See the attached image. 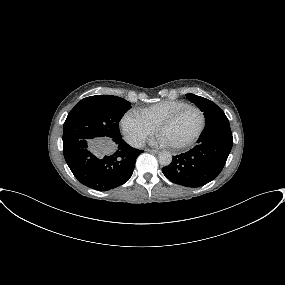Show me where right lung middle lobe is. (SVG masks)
<instances>
[{"label":"right lung middle lobe","mask_w":285,"mask_h":285,"mask_svg":"<svg viewBox=\"0 0 285 285\" xmlns=\"http://www.w3.org/2000/svg\"><path fill=\"white\" fill-rule=\"evenodd\" d=\"M131 103L112 95L82 99L64 122L63 143L74 139L112 141L120 139L119 122Z\"/></svg>","instance_id":"1"}]
</instances>
